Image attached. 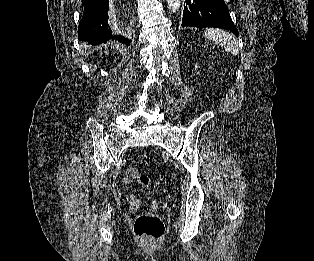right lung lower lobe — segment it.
Masks as SVG:
<instances>
[{
    "label": "right lung lower lobe",
    "instance_id": "98d812e1",
    "mask_svg": "<svg viewBox=\"0 0 314 261\" xmlns=\"http://www.w3.org/2000/svg\"><path fill=\"white\" fill-rule=\"evenodd\" d=\"M84 13L78 27L79 41L97 45L109 40L128 43L119 30L109 25V0H82Z\"/></svg>",
    "mask_w": 314,
    "mask_h": 261
}]
</instances>
